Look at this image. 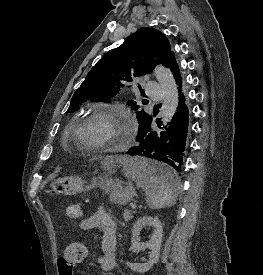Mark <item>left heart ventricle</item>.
Returning a JSON list of instances; mask_svg holds the SVG:
<instances>
[{"label": "left heart ventricle", "instance_id": "b2bd125f", "mask_svg": "<svg viewBox=\"0 0 263 275\" xmlns=\"http://www.w3.org/2000/svg\"><path fill=\"white\" fill-rule=\"evenodd\" d=\"M111 134L110 126L103 120L92 121L84 130L83 135L86 139L99 141L107 138Z\"/></svg>", "mask_w": 263, "mask_h": 275}]
</instances>
